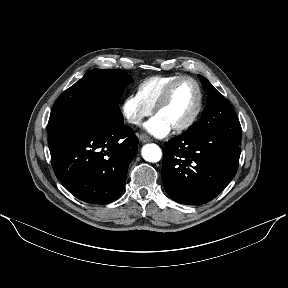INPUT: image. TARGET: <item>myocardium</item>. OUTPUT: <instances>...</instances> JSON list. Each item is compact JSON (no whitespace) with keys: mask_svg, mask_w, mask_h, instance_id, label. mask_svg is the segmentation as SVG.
<instances>
[{"mask_svg":"<svg viewBox=\"0 0 288 288\" xmlns=\"http://www.w3.org/2000/svg\"><path fill=\"white\" fill-rule=\"evenodd\" d=\"M190 81L194 84L196 90H197V103L195 106V109L192 113V115L183 123L172 127V130L175 132H182L185 131L187 129H189L190 127H192L198 120L201 110H202V106H203V92L201 89L200 84L198 83V81L196 79H194L193 77L187 76V75H183V76H179L177 78H175L172 82H170L167 87L164 89V91L162 92V94L160 95L159 99L157 100L155 106H154V111L157 114L159 112V110L166 105V103L169 101L170 96L174 90V88L177 86V84H179L182 81Z\"/></svg>","mask_w":288,"mask_h":288,"instance_id":"myocardium-1","label":"myocardium"}]
</instances>
